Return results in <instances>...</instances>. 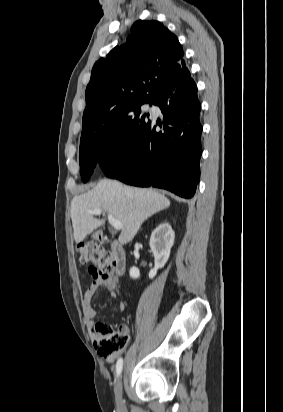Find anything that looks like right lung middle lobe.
Listing matches in <instances>:
<instances>
[{
	"instance_id": "obj_1",
	"label": "right lung middle lobe",
	"mask_w": 283,
	"mask_h": 412,
	"mask_svg": "<svg viewBox=\"0 0 283 412\" xmlns=\"http://www.w3.org/2000/svg\"><path fill=\"white\" fill-rule=\"evenodd\" d=\"M152 104V103H151ZM141 106L133 108L114 128L80 140V174L87 182L97 163L101 167L122 158L149 123V114L141 112Z\"/></svg>"
}]
</instances>
